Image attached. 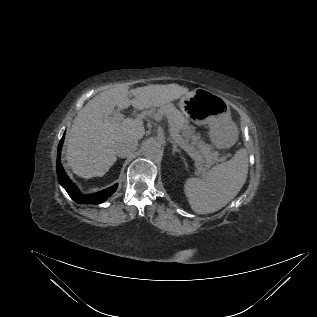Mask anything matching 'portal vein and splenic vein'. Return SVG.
<instances>
[{
	"label": "portal vein and splenic vein",
	"instance_id": "1",
	"mask_svg": "<svg viewBox=\"0 0 317 317\" xmlns=\"http://www.w3.org/2000/svg\"><path fill=\"white\" fill-rule=\"evenodd\" d=\"M110 120L112 121H121L124 120V114L121 113H114L113 116L110 117ZM172 137L176 140V142L181 145V147L186 150V146L184 145V142L182 140V138L180 137V135L170 131Z\"/></svg>",
	"mask_w": 317,
	"mask_h": 317
}]
</instances>
